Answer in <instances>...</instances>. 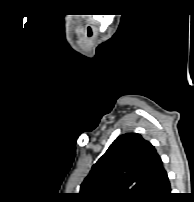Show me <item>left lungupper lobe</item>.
<instances>
[{
	"instance_id": "obj_1",
	"label": "left lung upper lobe",
	"mask_w": 194,
	"mask_h": 202,
	"mask_svg": "<svg viewBox=\"0 0 194 202\" xmlns=\"http://www.w3.org/2000/svg\"><path fill=\"white\" fill-rule=\"evenodd\" d=\"M164 173L154 146L127 133L93 165L79 196L83 202H152Z\"/></svg>"
}]
</instances>
